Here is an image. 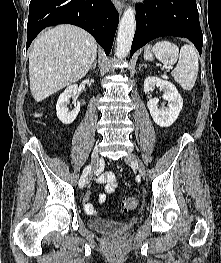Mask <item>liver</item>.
<instances>
[{
	"mask_svg": "<svg viewBox=\"0 0 221 263\" xmlns=\"http://www.w3.org/2000/svg\"><path fill=\"white\" fill-rule=\"evenodd\" d=\"M96 55V41L79 27L58 25L39 35L29 54L30 90L35 101L85 77Z\"/></svg>",
	"mask_w": 221,
	"mask_h": 263,
	"instance_id": "obj_1",
	"label": "liver"
}]
</instances>
